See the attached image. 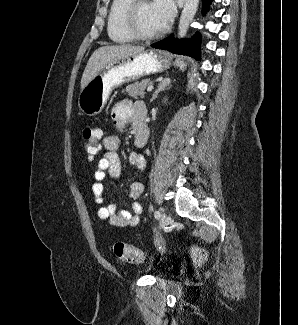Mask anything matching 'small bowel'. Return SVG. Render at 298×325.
Returning <instances> with one entry per match:
<instances>
[{"instance_id":"c3829d8e","label":"small bowel","mask_w":298,"mask_h":325,"mask_svg":"<svg viewBox=\"0 0 298 325\" xmlns=\"http://www.w3.org/2000/svg\"><path fill=\"white\" fill-rule=\"evenodd\" d=\"M135 104L128 99H124L118 102L112 109V120L118 133L109 134L103 138L104 151L98 160L97 169L94 173V183L92 184L94 201L100 206L98 210L99 218L107 220L110 225L115 227L131 228L136 226L143 211L142 204L138 201L143 191V184L141 182H133L130 185V195L134 199L131 212L119 209L116 204L103 205L102 180L106 174L114 178L120 176L121 164L117 150L121 143V133L132 120ZM128 160L132 166L139 170H144L146 166V160L140 153H130Z\"/></svg>"}]
</instances>
